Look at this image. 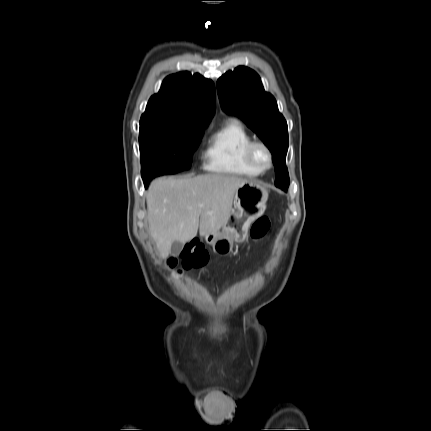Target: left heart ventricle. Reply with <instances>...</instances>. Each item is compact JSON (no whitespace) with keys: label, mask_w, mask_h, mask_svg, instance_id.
I'll return each instance as SVG.
<instances>
[{"label":"left heart ventricle","mask_w":431,"mask_h":431,"mask_svg":"<svg viewBox=\"0 0 431 431\" xmlns=\"http://www.w3.org/2000/svg\"><path fill=\"white\" fill-rule=\"evenodd\" d=\"M255 157L258 162L264 164L267 161V154L262 149H257L255 152Z\"/></svg>","instance_id":"b2bd125f"}]
</instances>
